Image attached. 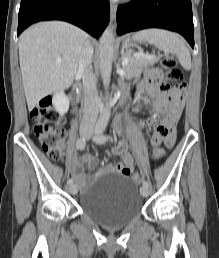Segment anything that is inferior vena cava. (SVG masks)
Masks as SVG:
<instances>
[{"label":"inferior vena cava","mask_w":219,"mask_h":258,"mask_svg":"<svg viewBox=\"0 0 219 258\" xmlns=\"http://www.w3.org/2000/svg\"><path fill=\"white\" fill-rule=\"evenodd\" d=\"M93 47L86 41L78 60V72L82 75L84 91V115L80 128L92 133L100 109V99L96 91V79L91 71Z\"/></svg>","instance_id":"obj_1"}]
</instances>
